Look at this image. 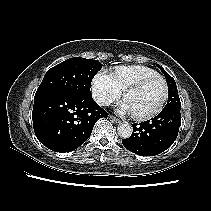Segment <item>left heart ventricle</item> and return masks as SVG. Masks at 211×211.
<instances>
[{"label":"left heart ventricle","mask_w":211,"mask_h":211,"mask_svg":"<svg viewBox=\"0 0 211 211\" xmlns=\"http://www.w3.org/2000/svg\"><path fill=\"white\" fill-rule=\"evenodd\" d=\"M164 93V84L161 81H154L129 93L125 100L129 103L134 114L144 115L154 111L160 105Z\"/></svg>","instance_id":"b2bd125f"}]
</instances>
